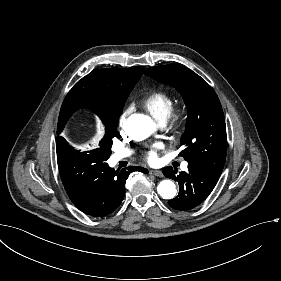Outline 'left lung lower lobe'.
Returning <instances> with one entry per match:
<instances>
[{
	"label": "left lung lower lobe",
	"mask_w": 281,
	"mask_h": 281,
	"mask_svg": "<svg viewBox=\"0 0 281 281\" xmlns=\"http://www.w3.org/2000/svg\"><path fill=\"white\" fill-rule=\"evenodd\" d=\"M167 178L177 180L179 195L168 201L169 206L177 210H190L201 204L215 187L219 174L213 173L202 165L188 162V172H176L172 167L163 170Z\"/></svg>",
	"instance_id": "obj_1"
}]
</instances>
